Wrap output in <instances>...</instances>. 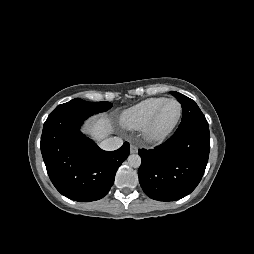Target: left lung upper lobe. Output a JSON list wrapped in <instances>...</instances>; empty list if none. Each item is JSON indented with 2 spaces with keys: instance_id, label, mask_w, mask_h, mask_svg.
Returning a JSON list of instances; mask_svg holds the SVG:
<instances>
[{
  "instance_id": "1",
  "label": "left lung upper lobe",
  "mask_w": 254,
  "mask_h": 254,
  "mask_svg": "<svg viewBox=\"0 0 254 254\" xmlns=\"http://www.w3.org/2000/svg\"><path fill=\"white\" fill-rule=\"evenodd\" d=\"M171 93L182 105L183 115L179 126L189 123H207L205 116L192 99L175 91H171Z\"/></svg>"
}]
</instances>
